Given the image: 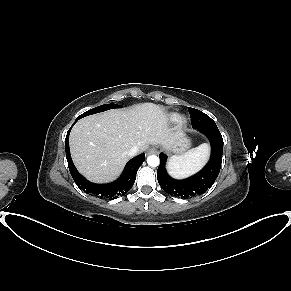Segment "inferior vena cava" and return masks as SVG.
<instances>
[{"mask_svg": "<svg viewBox=\"0 0 291 291\" xmlns=\"http://www.w3.org/2000/svg\"><path fill=\"white\" fill-rule=\"evenodd\" d=\"M139 152V148L137 146H133L129 151H128V155L130 157L135 156L137 153Z\"/></svg>", "mask_w": 291, "mask_h": 291, "instance_id": "obj_1", "label": "inferior vena cava"}]
</instances>
